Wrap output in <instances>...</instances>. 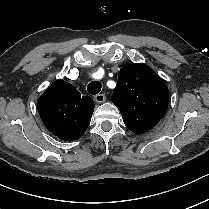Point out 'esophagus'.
Listing matches in <instances>:
<instances>
[{
    "instance_id": "esophagus-1",
    "label": "esophagus",
    "mask_w": 209,
    "mask_h": 209,
    "mask_svg": "<svg viewBox=\"0 0 209 209\" xmlns=\"http://www.w3.org/2000/svg\"><path fill=\"white\" fill-rule=\"evenodd\" d=\"M94 100L97 103H103L106 100V95L104 93L97 94V95L94 96Z\"/></svg>"
}]
</instances>
